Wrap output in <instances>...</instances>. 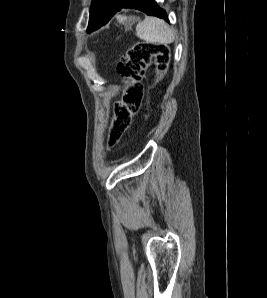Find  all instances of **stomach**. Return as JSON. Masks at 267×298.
Returning <instances> with one entry per match:
<instances>
[{
    "mask_svg": "<svg viewBox=\"0 0 267 298\" xmlns=\"http://www.w3.org/2000/svg\"><path fill=\"white\" fill-rule=\"evenodd\" d=\"M116 18L120 24H124V25L132 24L135 21L133 17H127L125 15H118Z\"/></svg>",
    "mask_w": 267,
    "mask_h": 298,
    "instance_id": "0dacf381",
    "label": "stomach"
}]
</instances>
